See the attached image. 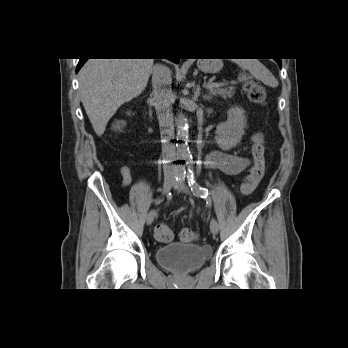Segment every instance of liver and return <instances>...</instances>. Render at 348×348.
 <instances>
[{
  "label": "liver",
  "instance_id": "liver-1",
  "mask_svg": "<svg viewBox=\"0 0 348 348\" xmlns=\"http://www.w3.org/2000/svg\"><path fill=\"white\" fill-rule=\"evenodd\" d=\"M154 59H89L79 72L81 102L101 136L118 108L145 89Z\"/></svg>",
  "mask_w": 348,
  "mask_h": 348
}]
</instances>
